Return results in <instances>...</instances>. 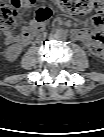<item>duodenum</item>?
<instances>
[{
    "instance_id": "obj_1",
    "label": "duodenum",
    "mask_w": 104,
    "mask_h": 137,
    "mask_svg": "<svg viewBox=\"0 0 104 137\" xmlns=\"http://www.w3.org/2000/svg\"><path fill=\"white\" fill-rule=\"evenodd\" d=\"M43 33V30L40 28V27H36L32 30L31 32V37L34 38V37H38L40 36L41 34Z\"/></svg>"
}]
</instances>
